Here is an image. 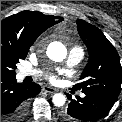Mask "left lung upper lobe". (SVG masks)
<instances>
[{
    "label": "left lung upper lobe",
    "instance_id": "5c2ea615",
    "mask_svg": "<svg viewBox=\"0 0 122 122\" xmlns=\"http://www.w3.org/2000/svg\"><path fill=\"white\" fill-rule=\"evenodd\" d=\"M77 28L88 48L89 60L81 74V82L74 85L73 90L117 99L121 90L122 67L116 49L98 28L86 21L78 19Z\"/></svg>",
    "mask_w": 122,
    "mask_h": 122
}]
</instances>
